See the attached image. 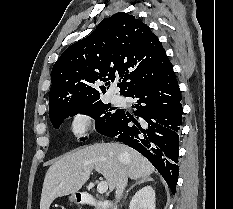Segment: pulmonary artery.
Masks as SVG:
<instances>
[{"label":"pulmonary artery","instance_id":"e3ab8cb5","mask_svg":"<svg viewBox=\"0 0 233 209\" xmlns=\"http://www.w3.org/2000/svg\"><path fill=\"white\" fill-rule=\"evenodd\" d=\"M112 101H113L114 103H119V102L121 101V99H120V97H119L118 95L113 94V95H112Z\"/></svg>","mask_w":233,"mask_h":209}]
</instances>
